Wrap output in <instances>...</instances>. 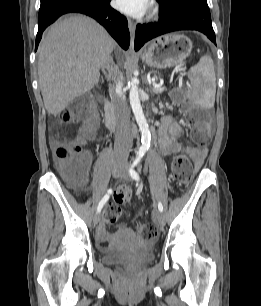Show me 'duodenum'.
I'll return each instance as SVG.
<instances>
[{
	"instance_id": "obj_1",
	"label": "duodenum",
	"mask_w": 261,
	"mask_h": 306,
	"mask_svg": "<svg viewBox=\"0 0 261 306\" xmlns=\"http://www.w3.org/2000/svg\"><path fill=\"white\" fill-rule=\"evenodd\" d=\"M105 111V126L108 129H113L115 127V108L111 101H107L104 107Z\"/></svg>"
}]
</instances>
